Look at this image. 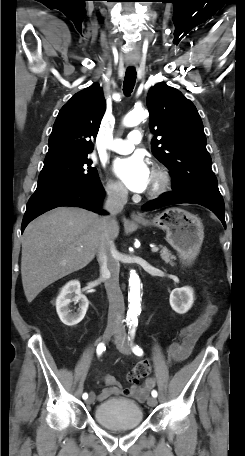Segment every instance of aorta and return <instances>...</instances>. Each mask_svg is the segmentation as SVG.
Masks as SVG:
<instances>
[{"mask_svg": "<svg viewBox=\"0 0 245 456\" xmlns=\"http://www.w3.org/2000/svg\"><path fill=\"white\" fill-rule=\"evenodd\" d=\"M147 116L148 112L143 108L134 109L124 117L123 124L126 127H133L138 125ZM129 287L127 317L135 318L141 312L140 279L135 271L130 272Z\"/></svg>", "mask_w": 245, "mask_h": 456, "instance_id": "aorta-1", "label": "aorta"}]
</instances>
